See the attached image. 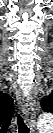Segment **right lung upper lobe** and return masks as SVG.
<instances>
[{
  "instance_id": "1",
  "label": "right lung upper lobe",
  "mask_w": 53,
  "mask_h": 133,
  "mask_svg": "<svg viewBox=\"0 0 53 133\" xmlns=\"http://www.w3.org/2000/svg\"><path fill=\"white\" fill-rule=\"evenodd\" d=\"M14 115L13 99L7 94H0V125L5 132L10 125V121Z\"/></svg>"
}]
</instances>
